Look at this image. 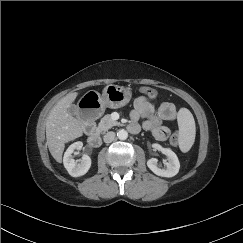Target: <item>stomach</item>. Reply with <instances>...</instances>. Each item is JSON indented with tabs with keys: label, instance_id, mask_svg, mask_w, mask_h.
Returning a JSON list of instances; mask_svg holds the SVG:
<instances>
[{
	"label": "stomach",
	"instance_id": "obj_1",
	"mask_svg": "<svg viewBox=\"0 0 243 243\" xmlns=\"http://www.w3.org/2000/svg\"><path fill=\"white\" fill-rule=\"evenodd\" d=\"M131 97L132 93L129 88L110 84L103 89L102 95L96 91H88L79 102L87 103V108H93L99 116L106 107L117 109L125 106Z\"/></svg>",
	"mask_w": 243,
	"mask_h": 243
}]
</instances>
